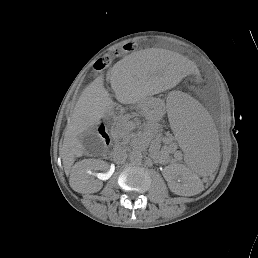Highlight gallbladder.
<instances>
[{
  "mask_svg": "<svg viewBox=\"0 0 258 258\" xmlns=\"http://www.w3.org/2000/svg\"><path fill=\"white\" fill-rule=\"evenodd\" d=\"M80 140L88 154H95L102 151L103 143L101 137L94 131L84 132L80 136Z\"/></svg>",
  "mask_w": 258,
  "mask_h": 258,
  "instance_id": "1",
  "label": "gallbladder"
}]
</instances>
